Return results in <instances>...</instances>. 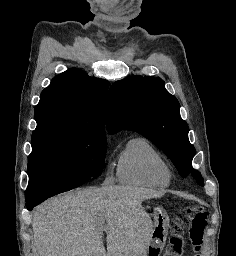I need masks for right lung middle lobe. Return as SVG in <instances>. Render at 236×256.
<instances>
[{"instance_id": "dd1d6c3e", "label": "right lung middle lobe", "mask_w": 236, "mask_h": 256, "mask_svg": "<svg viewBox=\"0 0 236 256\" xmlns=\"http://www.w3.org/2000/svg\"><path fill=\"white\" fill-rule=\"evenodd\" d=\"M28 157L26 200L101 175L107 140L105 134L66 125L36 127Z\"/></svg>"}]
</instances>
